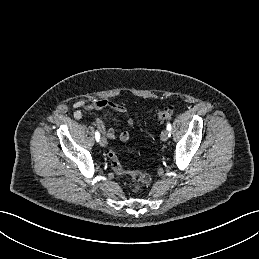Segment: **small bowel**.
<instances>
[{
	"label": "small bowel",
	"mask_w": 259,
	"mask_h": 259,
	"mask_svg": "<svg viewBox=\"0 0 259 259\" xmlns=\"http://www.w3.org/2000/svg\"><path fill=\"white\" fill-rule=\"evenodd\" d=\"M104 108L112 109L117 114L125 117L128 125H132L133 122L132 119L129 117L127 109L123 105L107 99L92 101L80 100L73 105V114L76 119H80L83 112L85 111L101 110ZM95 124L104 134V136L111 141L117 140L120 142H126L130 138V133L127 130L116 133L113 128L107 127L104 121L99 118L95 120Z\"/></svg>",
	"instance_id": "obj_1"
}]
</instances>
